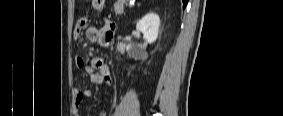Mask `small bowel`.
<instances>
[{"mask_svg":"<svg viewBox=\"0 0 283 116\" xmlns=\"http://www.w3.org/2000/svg\"><path fill=\"white\" fill-rule=\"evenodd\" d=\"M94 2L97 9H101L103 7L104 0H96ZM85 25V18H81L78 20L73 32V37L75 40L80 37L81 31ZM114 30L115 24L112 21L105 19L103 21V25L100 27H88L86 30V36L92 42H100L104 45H110L113 42ZM75 64L78 68L85 69L92 83L105 84L106 87L109 89L113 87L114 79L111 77L110 70L101 57H95L90 62H86L83 57L77 56L75 59ZM90 97L91 92L87 89H82L79 87L73 89V107L75 116L80 115L81 107ZM106 115L107 113L105 110H102L99 113V116Z\"/></svg>","mask_w":283,"mask_h":116,"instance_id":"obj_1","label":"small bowel"}]
</instances>
